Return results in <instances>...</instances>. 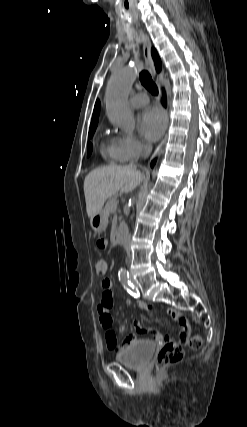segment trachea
<instances>
[{
	"label": "trachea",
	"mask_w": 247,
	"mask_h": 427,
	"mask_svg": "<svg viewBox=\"0 0 247 427\" xmlns=\"http://www.w3.org/2000/svg\"><path fill=\"white\" fill-rule=\"evenodd\" d=\"M139 79L142 83V85L153 95L158 94V88L156 84L153 82L151 75L148 73V71H141L139 74Z\"/></svg>",
	"instance_id": "3493384b"
}]
</instances>
